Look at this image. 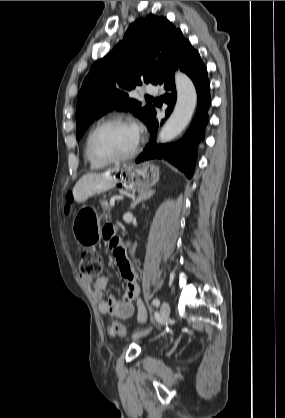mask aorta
I'll return each instance as SVG.
<instances>
[{
	"instance_id": "obj_1",
	"label": "aorta",
	"mask_w": 285,
	"mask_h": 418,
	"mask_svg": "<svg viewBox=\"0 0 285 418\" xmlns=\"http://www.w3.org/2000/svg\"><path fill=\"white\" fill-rule=\"evenodd\" d=\"M177 102L175 108L159 133V141L169 142L189 124L197 103V93L192 80L182 72L175 73Z\"/></svg>"
}]
</instances>
